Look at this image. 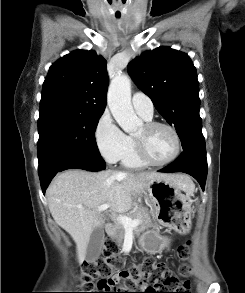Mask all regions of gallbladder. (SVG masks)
<instances>
[{"label": "gallbladder", "instance_id": "obj_1", "mask_svg": "<svg viewBox=\"0 0 245 293\" xmlns=\"http://www.w3.org/2000/svg\"><path fill=\"white\" fill-rule=\"evenodd\" d=\"M104 228L103 226H97L91 233L87 249H86V260L92 262L96 260L100 253L102 244L104 242Z\"/></svg>", "mask_w": 245, "mask_h": 293}]
</instances>
